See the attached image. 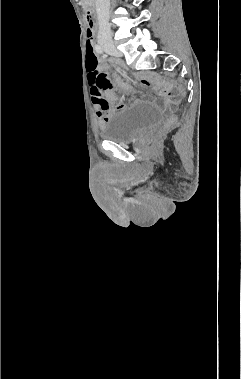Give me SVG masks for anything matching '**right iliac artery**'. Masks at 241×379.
<instances>
[{"label":"right iliac artery","instance_id":"right-iliac-artery-1","mask_svg":"<svg viewBox=\"0 0 241 379\" xmlns=\"http://www.w3.org/2000/svg\"><path fill=\"white\" fill-rule=\"evenodd\" d=\"M95 49H96V51L98 52V53H103V48L100 46V45H96L95 46Z\"/></svg>","mask_w":241,"mask_h":379}]
</instances>
